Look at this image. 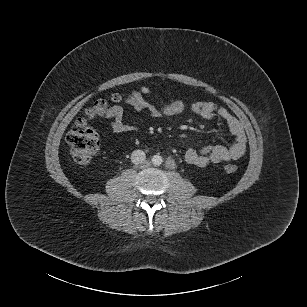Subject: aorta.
<instances>
[{"mask_svg": "<svg viewBox=\"0 0 307 307\" xmlns=\"http://www.w3.org/2000/svg\"><path fill=\"white\" fill-rule=\"evenodd\" d=\"M151 162H152L153 165L159 166V165L162 164L163 158H162V156H160V155H154V156L151 158Z\"/></svg>", "mask_w": 307, "mask_h": 307, "instance_id": "762f6f07", "label": "aorta"}]
</instances>
